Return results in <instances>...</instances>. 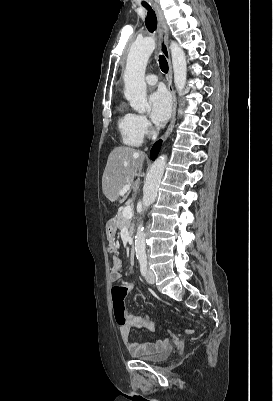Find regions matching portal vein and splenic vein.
<instances>
[{
  "mask_svg": "<svg viewBox=\"0 0 273 401\" xmlns=\"http://www.w3.org/2000/svg\"><path fill=\"white\" fill-rule=\"evenodd\" d=\"M129 188H130V184H125V186H123L122 190H120L119 194H121V196H123V194H125V192H127V190H129ZM122 213H123V217H126V219H132V217H133L132 207H124Z\"/></svg>",
  "mask_w": 273,
  "mask_h": 401,
  "instance_id": "portal-vein-and-splenic-vein-1",
  "label": "portal vein and splenic vein"
}]
</instances>
